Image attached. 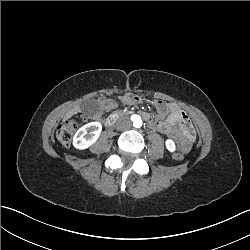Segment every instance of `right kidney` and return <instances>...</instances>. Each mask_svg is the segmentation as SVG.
<instances>
[{"instance_id":"ca27d5eb","label":"right kidney","mask_w":250,"mask_h":250,"mask_svg":"<svg viewBox=\"0 0 250 250\" xmlns=\"http://www.w3.org/2000/svg\"><path fill=\"white\" fill-rule=\"evenodd\" d=\"M101 130L102 126L99 122L85 124L75 133L74 146L79 149L87 148L97 140Z\"/></svg>"}]
</instances>
